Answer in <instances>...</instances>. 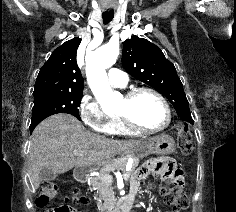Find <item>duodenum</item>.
I'll return each mask as SVG.
<instances>
[{"instance_id":"duodenum-1","label":"duodenum","mask_w":236,"mask_h":212,"mask_svg":"<svg viewBox=\"0 0 236 212\" xmlns=\"http://www.w3.org/2000/svg\"><path fill=\"white\" fill-rule=\"evenodd\" d=\"M90 174V169L84 166L77 167L74 171L75 179L80 183H85ZM137 198V190L131 189L130 192L121 198L115 206L108 209L107 212H129L134 206Z\"/></svg>"}]
</instances>
